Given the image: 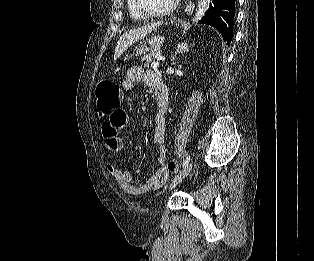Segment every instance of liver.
I'll use <instances>...</instances> for the list:
<instances>
[{"label":"liver","instance_id":"obj_1","mask_svg":"<svg viewBox=\"0 0 314 261\" xmlns=\"http://www.w3.org/2000/svg\"><path fill=\"white\" fill-rule=\"evenodd\" d=\"M157 26H159V23L149 24L142 28L125 32L117 42L114 53V60H117L123 54V52L128 49V47H130L136 41L144 38L146 35L156 29Z\"/></svg>","mask_w":314,"mask_h":261}]
</instances>
